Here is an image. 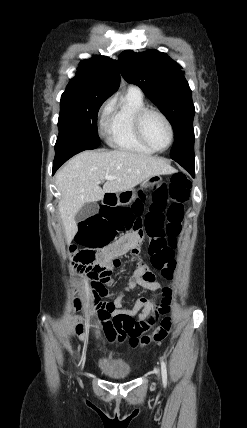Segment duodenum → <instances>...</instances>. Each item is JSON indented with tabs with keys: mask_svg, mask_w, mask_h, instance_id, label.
<instances>
[{
	"mask_svg": "<svg viewBox=\"0 0 247 428\" xmlns=\"http://www.w3.org/2000/svg\"><path fill=\"white\" fill-rule=\"evenodd\" d=\"M114 200H115V195L113 194H109L108 196H106L105 198V203L106 204H114Z\"/></svg>",
	"mask_w": 247,
	"mask_h": 428,
	"instance_id": "obj_1",
	"label": "duodenum"
}]
</instances>
